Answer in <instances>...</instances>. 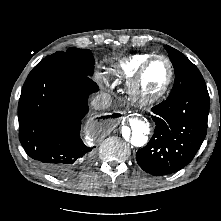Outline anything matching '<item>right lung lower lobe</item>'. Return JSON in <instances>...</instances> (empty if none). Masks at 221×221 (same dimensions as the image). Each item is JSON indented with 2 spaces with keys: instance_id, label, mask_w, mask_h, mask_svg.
<instances>
[{
  "instance_id": "obj_1",
  "label": "right lung lower lobe",
  "mask_w": 221,
  "mask_h": 221,
  "mask_svg": "<svg viewBox=\"0 0 221 221\" xmlns=\"http://www.w3.org/2000/svg\"><path fill=\"white\" fill-rule=\"evenodd\" d=\"M97 91L89 76L56 63L37 65L30 72L18 104L19 140L41 169L67 177L91 158L95 147L83 143L80 130L88 96Z\"/></svg>"
}]
</instances>
